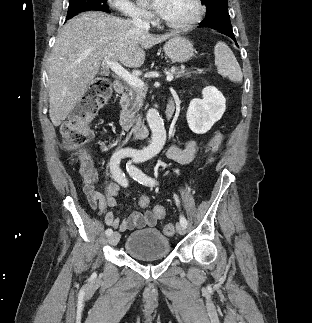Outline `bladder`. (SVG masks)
Wrapping results in <instances>:
<instances>
[{
  "label": "bladder",
  "instance_id": "1",
  "mask_svg": "<svg viewBox=\"0 0 312 323\" xmlns=\"http://www.w3.org/2000/svg\"><path fill=\"white\" fill-rule=\"evenodd\" d=\"M125 248L140 260L162 258L170 253L171 241L158 229L139 230L130 233Z\"/></svg>",
  "mask_w": 312,
  "mask_h": 323
}]
</instances>
